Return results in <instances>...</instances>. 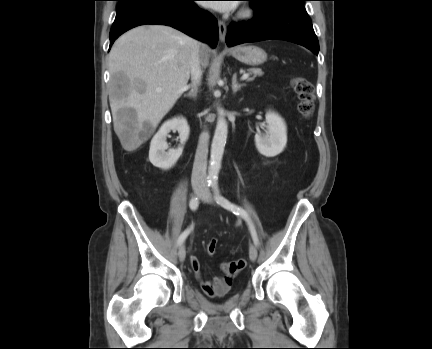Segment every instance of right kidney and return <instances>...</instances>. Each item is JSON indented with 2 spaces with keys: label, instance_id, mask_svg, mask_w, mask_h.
<instances>
[{
  "label": "right kidney",
  "instance_id": "right-kidney-1",
  "mask_svg": "<svg viewBox=\"0 0 432 349\" xmlns=\"http://www.w3.org/2000/svg\"><path fill=\"white\" fill-rule=\"evenodd\" d=\"M171 130L179 133L181 145L176 149H168L166 136ZM190 128L183 117H175L166 121L152 138L149 149V161L163 170L173 167L183 152V145L188 140ZM168 150V151H166Z\"/></svg>",
  "mask_w": 432,
  "mask_h": 349
}]
</instances>
